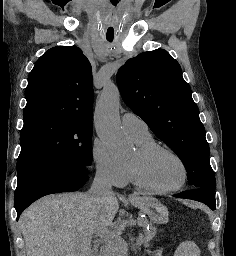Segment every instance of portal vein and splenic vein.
<instances>
[{"mask_svg":"<svg viewBox=\"0 0 236 256\" xmlns=\"http://www.w3.org/2000/svg\"><path fill=\"white\" fill-rule=\"evenodd\" d=\"M120 226H122V224H115V226H113V228H120ZM106 232H107V230H101V232H99V234H101L100 238H104Z\"/></svg>","mask_w":236,"mask_h":256,"instance_id":"18ae733b","label":"portal vein and splenic vein"}]
</instances>
